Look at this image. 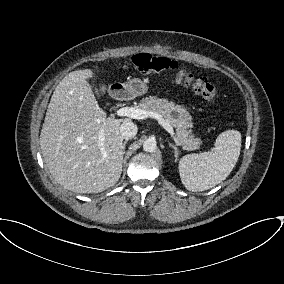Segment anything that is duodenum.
<instances>
[{
	"mask_svg": "<svg viewBox=\"0 0 284 284\" xmlns=\"http://www.w3.org/2000/svg\"><path fill=\"white\" fill-rule=\"evenodd\" d=\"M111 93L115 98H122L126 94V91L124 89H114Z\"/></svg>",
	"mask_w": 284,
	"mask_h": 284,
	"instance_id": "1",
	"label": "duodenum"
}]
</instances>
